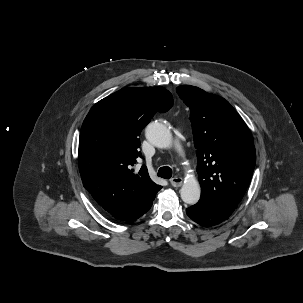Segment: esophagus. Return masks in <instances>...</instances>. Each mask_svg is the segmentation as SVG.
<instances>
[{
    "instance_id": "obj_1",
    "label": "esophagus",
    "mask_w": 303,
    "mask_h": 303,
    "mask_svg": "<svg viewBox=\"0 0 303 303\" xmlns=\"http://www.w3.org/2000/svg\"><path fill=\"white\" fill-rule=\"evenodd\" d=\"M170 183L173 187H180L183 183V179L181 177L175 176L170 180Z\"/></svg>"
}]
</instances>
